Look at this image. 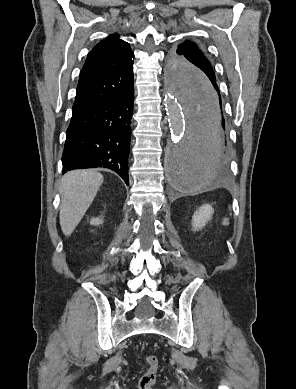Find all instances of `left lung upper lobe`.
Here are the masks:
<instances>
[{
  "label": "left lung upper lobe",
  "instance_id": "obj_1",
  "mask_svg": "<svg viewBox=\"0 0 296 389\" xmlns=\"http://www.w3.org/2000/svg\"><path fill=\"white\" fill-rule=\"evenodd\" d=\"M179 85H194L196 77L215 76L212 63L202 46L191 40L181 42L173 51L169 66Z\"/></svg>",
  "mask_w": 296,
  "mask_h": 389
}]
</instances>
